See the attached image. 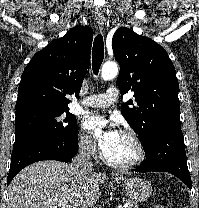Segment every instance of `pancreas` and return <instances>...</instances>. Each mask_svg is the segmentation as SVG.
Masks as SVG:
<instances>
[{
  "label": "pancreas",
  "mask_w": 199,
  "mask_h": 208,
  "mask_svg": "<svg viewBox=\"0 0 199 208\" xmlns=\"http://www.w3.org/2000/svg\"><path fill=\"white\" fill-rule=\"evenodd\" d=\"M126 202L128 204L127 208H134V207L136 208L137 207V205L134 201L128 200Z\"/></svg>",
  "instance_id": "obj_1"
}]
</instances>
